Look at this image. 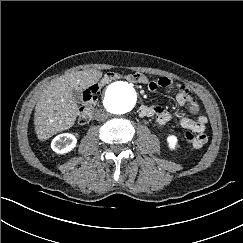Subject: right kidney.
I'll list each match as a JSON object with an SVG mask.
<instances>
[{
    "label": "right kidney",
    "mask_w": 243,
    "mask_h": 243,
    "mask_svg": "<svg viewBox=\"0 0 243 243\" xmlns=\"http://www.w3.org/2000/svg\"><path fill=\"white\" fill-rule=\"evenodd\" d=\"M77 139L73 134L63 133L57 135L51 142V148L56 153L65 154L73 150Z\"/></svg>",
    "instance_id": "obj_1"
}]
</instances>
